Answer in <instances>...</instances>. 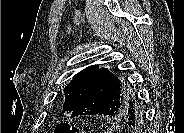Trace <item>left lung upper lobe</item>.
Instances as JSON below:
<instances>
[{
  "label": "left lung upper lobe",
  "instance_id": "5c2ea615",
  "mask_svg": "<svg viewBox=\"0 0 184 133\" xmlns=\"http://www.w3.org/2000/svg\"><path fill=\"white\" fill-rule=\"evenodd\" d=\"M97 69L98 65L89 66L88 68L76 74L73 80L67 86H65V102L63 106L64 111L72 112L76 106L88 95L94 85L95 73ZM132 111L137 117L138 125H141L144 119V113L139 98H137L135 104L132 106Z\"/></svg>",
  "mask_w": 184,
  "mask_h": 133
}]
</instances>
